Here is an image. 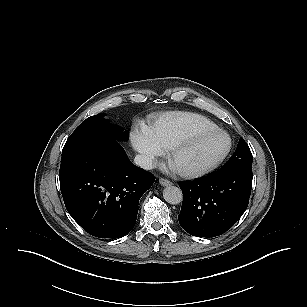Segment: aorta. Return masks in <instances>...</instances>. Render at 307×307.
Listing matches in <instances>:
<instances>
[{
  "mask_svg": "<svg viewBox=\"0 0 307 307\" xmlns=\"http://www.w3.org/2000/svg\"><path fill=\"white\" fill-rule=\"evenodd\" d=\"M165 201L172 205H177L182 202L183 195L180 188L176 186H167L163 191Z\"/></svg>",
  "mask_w": 307,
  "mask_h": 307,
  "instance_id": "1",
  "label": "aorta"
}]
</instances>
